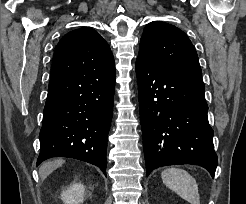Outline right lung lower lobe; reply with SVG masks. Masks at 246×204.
I'll list each match as a JSON object with an SVG mask.
<instances>
[{
    "mask_svg": "<svg viewBox=\"0 0 246 204\" xmlns=\"http://www.w3.org/2000/svg\"><path fill=\"white\" fill-rule=\"evenodd\" d=\"M114 89L115 68L51 77L36 165L63 156L96 165L106 175Z\"/></svg>",
    "mask_w": 246,
    "mask_h": 204,
    "instance_id": "right-lung-lower-lobe-1",
    "label": "right lung lower lobe"
}]
</instances>
